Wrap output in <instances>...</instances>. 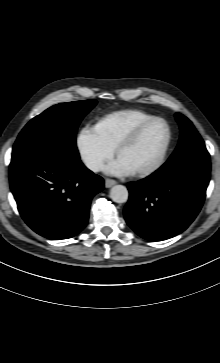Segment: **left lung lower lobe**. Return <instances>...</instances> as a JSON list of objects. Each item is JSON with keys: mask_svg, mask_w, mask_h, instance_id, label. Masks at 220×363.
Wrapping results in <instances>:
<instances>
[{"mask_svg": "<svg viewBox=\"0 0 220 363\" xmlns=\"http://www.w3.org/2000/svg\"><path fill=\"white\" fill-rule=\"evenodd\" d=\"M210 180V156L193 150L170 157L157 171L129 183L127 224L142 238L165 240L183 232L199 213Z\"/></svg>", "mask_w": 220, "mask_h": 363, "instance_id": "1", "label": "left lung lower lobe"}]
</instances>
